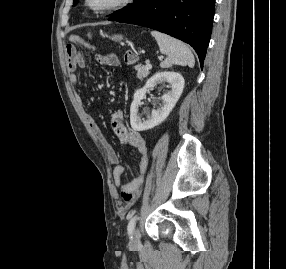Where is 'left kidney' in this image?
I'll return each instance as SVG.
<instances>
[{"label": "left kidney", "instance_id": "left-kidney-1", "mask_svg": "<svg viewBox=\"0 0 286 269\" xmlns=\"http://www.w3.org/2000/svg\"><path fill=\"white\" fill-rule=\"evenodd\" d=\"M168 82L170 91L160 97L162 105L158 109H154L151 115H147V119L141 120L138 116L139 105L144 99L147 90L155 87L159 83ZM184 88V78L176 72H159L153 75L145 84V86L137 90L134 94V99L130 107V124L136 131H145L151 129L163 122L177 101L179 100Z\"/></svg>", "mask_w": 286, "mask_h": 269}]
</instances>
